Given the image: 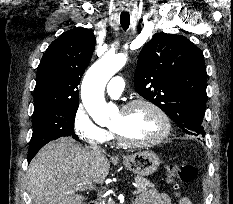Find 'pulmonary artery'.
<instances>
[{"label":"pulmonary artery","mask_w":233,"mask_h":204,"mask_svg":"<svg viewBox=\"0 0 233 204\" xmlns=\"http://www.w3.org/2000/svg\"><path fill=\"white\" fill-rule=\"evenodd\" d=\"M124 90V80L121 76L113 77L107 84L106 92L111 97H119Z\"/></svg>","instance_id":"1"}]
</instances>
